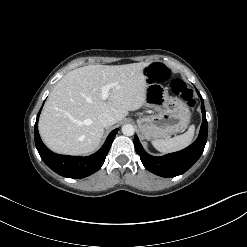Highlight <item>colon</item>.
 Returning <instances> with one entry per match:
<instances>
[{
  "label": "colon",
  "mask_w": 247,
  "mask_h": 247,
  "mask_svg": "<svg viewBox=\"0 0 247 247\" xmlns=\"http://www.w3.org/2000/svg\"><path fill=\"white\" fill-rule=\"evenodd\" d=\"M145 72L149 80L153 82H164L170 77L169 69L158 63L149 65ZM171 89L172 92L184 100L189 107H194L195 100L193 91L184 81L181 79L172 80Z\"/></svg>",
  "instance_id": "colon-1"
}]
</instances>
